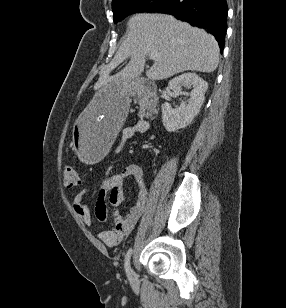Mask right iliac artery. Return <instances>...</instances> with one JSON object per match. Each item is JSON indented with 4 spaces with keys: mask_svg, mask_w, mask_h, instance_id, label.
Segmentation results:
<instances>
[{
    "mask_svg": "<svg viewBox=\"0 0 286 308\" xmlns=\"http://www.w3.org/2000/svg\"><path fill=\"white\" fill-rule=\"evenodd\" d=\"M131 255H132V248L128 250L125 256V263H124L125 271L129 279H131V267H130Z\"/></svg>",
    "mask_w": 286,
    "mask_h": 308,
    "instance_id": "82829eb1",
    "label": "right iliac artery"
}]
</instances>
